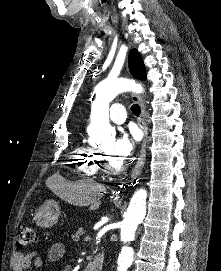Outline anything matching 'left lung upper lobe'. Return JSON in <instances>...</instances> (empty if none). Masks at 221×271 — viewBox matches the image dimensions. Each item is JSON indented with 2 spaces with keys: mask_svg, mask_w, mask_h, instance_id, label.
Listing matches in <instances>:
<instances>
[{
  "mask_svg": "<svg viewBox=\"0 0 221 271\" xmlns=\"http://www.w3.org/2000/svg\"><path fill=\"white\" fill-rule=\"evenodd\" d=\"M129 71L133 77L146 80L145 66L136 49H132L129 54Z\"/></svg>",
  "mask_w": 221,
  "mask_h": 271,
  "instance_id": "1",
  "label": "left lung upper lobe"
}]
</instances>
